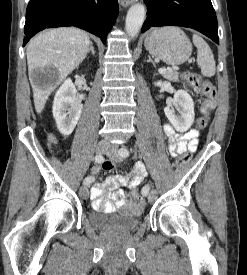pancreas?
I'll use <instances>...</instances> for the list:
<instances>
[{
  "label": "pancreas",
  "mask_w": 247,
  "mask_h": 275,
  "mask_svg": "<svg viewBox=\"0 0 247 275\" xmlns=\"http://www.w3.org/2000/svg\"><path fill=\"white\" fill-rule=\"evenodd\" d=\"M162 75L168 81H172V82H178L179 81V73L177 71L168 70Z\"/></svg>",
  "instance_id": "cf45deb5"
}]
</instances>
